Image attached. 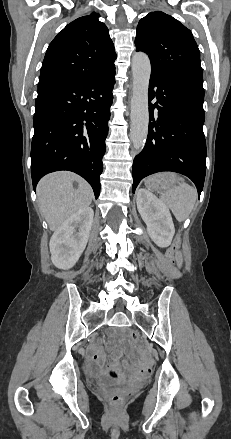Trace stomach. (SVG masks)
<instances>
[{
	"instance_id": "stomach-1",
	"label": "stomach",
	"mask_w": 231,
	"mask_h": 439,
	"mask_svg": "<svg viewBox=\"0 0 231 439\" xmlns=\"http://www.w3.org/2000/svg\"><path fill=\"white\" fill-rule=\"evenodd\" d=\"M179 181L180 179L173 173H159L149 177L146 185L152 190L160 191L175 187Z\"/></svg>"
}]
</instances>
